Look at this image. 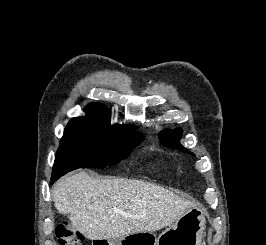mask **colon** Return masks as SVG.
I'll use <instances>...</instances> for the list:
<instances>
[{"mask_svg": "<svg viewBox=\"0 0 266 245\" xmlns=\"http://www.w3.org/2000/svg\"><path fill=\"white\" fill-rule=\"evenodd\" d=\"M57 237L60 245H83L84 237L76 231L67 221L57 228Z\"/></svg>", "mask_w": 266, "mask_h": 245, "instance_id": "5ec220e1", "label": "colon"}]
</instances>
